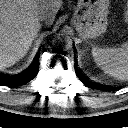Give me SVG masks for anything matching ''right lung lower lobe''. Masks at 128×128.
<instances>
[{"instance_id":"obj_1","label":"right lung lower lobe","mask_w":128,"mask_h":128,"mask_svg":"<svg viewBox=\"0 0 128 128\" xmlns=\"http://www.w3.org/2000/svg\"><path fill=\"white\" fill-rule=\"evenodd\" d=\"M39 54L40 50L36 54L32 64L25 71L12 76L0 74V85L14 87L32 80L39 70Z\"/></svg>"}]
</instances>
